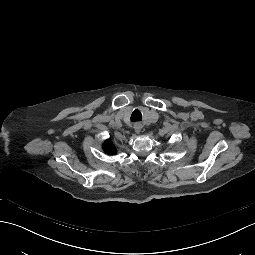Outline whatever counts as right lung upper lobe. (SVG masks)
<instances>
[{
	"label": "right lung upper lobe",
	"instance_id": "right-lung-upper-lobe-1",
	"mask_svg": "<svg viewBox=\"0 0 255 255\" xmlns=\"http://www.w3.org/2000/svg\"><path fill=\"white\" fill-rule=\"evenodd\" d=\"M103 149L107 154L113 155L116 153V149L114 145L112 144L111 140H106V142L103 145Z\"/></svg>",
	"mask_w": 255,
	"mask_h": 255
}]
</instances>
